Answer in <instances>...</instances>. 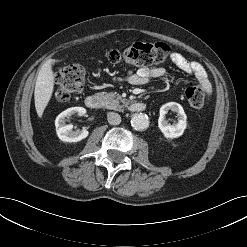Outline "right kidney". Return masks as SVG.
<instances>
[{"label": "right kidney", "mask_w": 247, "mask_h": 247, "mask_svg": "<svg viewBox=\"0 0 247 247\" xmlns=\"http://www.w3.org/2000/svg\"><path fill=\"white\" fill-rule=\"evenodd\" d=\"M78 113L84 115L86 110L83 107H71L60 113L55 120L56 132L60 140L64 142H78L86 138L89 134L87 129L73 131V125L66 124L67 118Z\"/></svg>", "instance_id": "obj_1"}]
</instances>
